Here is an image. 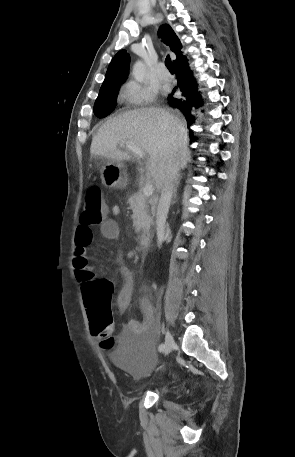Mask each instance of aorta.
<instances>
[{
  "label": "aorta",
  "mask_w": 295,
  "mask_h": 457,
  "mask_svg": "<svg viewBox=\"0 0 295 457\" xmlns=\"http://www.w3.org/2000/svg\"><path fill=\"white\" fill-rule=\"evenodd\" d=\"M145 73H146L145 64L142 61L138 60L134 64L133 70H132V75H133L134 79L137 82L142 83L145 78Z\"/></svg>",
  "instance_id": "aorta-1"
}]
</instances>
